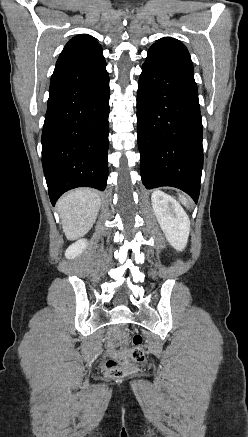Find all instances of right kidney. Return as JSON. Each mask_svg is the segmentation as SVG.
<instances>
[{"label":"right kidney","mask_w":248,"mask_h":437,"mask_svg":"<svg viewBox=\"0 0 248 437\" xmlns=\"http://www.w3.org/2000/svg\"><path fill=\"white\" fill-rule=\"evenodd\" d=\"M86 248L87 240L80 239L67 248L65 252V257L68 259H74L75 257L79 256Z\"/></svg>","instance_id":"obj_1"}]
</instances>
